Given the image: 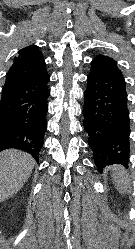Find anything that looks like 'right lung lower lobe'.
I'll return each instance as SVG.
<instances>
[{"label":"right lung lower lobe","mask_w":135,"mask_h":249,"mask_svg":"<svg viewBox=\"0 0 135 249\" xmlns=\"http://www.w3.org/2000/svg\"><path fill=\"white\" fill-rule=\"evenodd\" d=\"M48 74L5 83L0 98V151L15 148L38 161L46 131Z\"/></svg>","instance_id":"98d812e1"}]
</instances>
